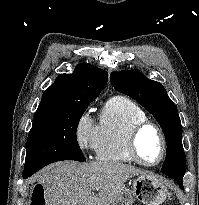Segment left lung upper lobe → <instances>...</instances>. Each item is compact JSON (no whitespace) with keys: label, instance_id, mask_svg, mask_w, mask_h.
Here are the masks:
<instances>
[{"label":"left lung upper lobe","instance_id":"obj_1","mask_svg":"<svg viewBox=\"0 0 199 205\" xmlns=\"http://www.w3.org/2000/svg\"><path fill=\"white\" fill-rule=\"evenodd\" d=\"M110 80L117 91L136 100L160 124L167 144L162 172L182 183L186 172L182 126L177 107L169 98L165 88L159 82L132 70L112 72Z\"/></svg>","mask_w":199,"mask_h":205}]
</instances>
